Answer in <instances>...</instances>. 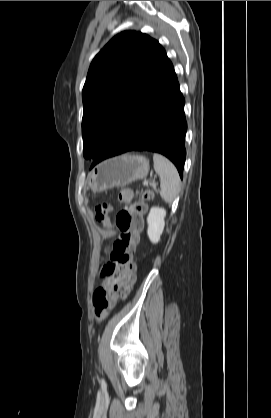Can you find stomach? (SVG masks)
Segmentation results:
<instances>
[{
    "label": "stomach",
    "mask_w": 271,
    "mask_h": 418,
    "mask_svg": "<svg viewBox=\"0 0 271 418\" xmlns=\"http://www.w3.org/2000/svg\"><path fill=\"white\" fill-rule=\"evenodd\" d=\"M148 172L147 158L141 155L124 154L107 159L95 166L88 175V185L93 192H102L144 179Z\"/></svg>",
    "instance_id": "obj_1"
}]
</instances>
